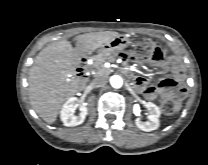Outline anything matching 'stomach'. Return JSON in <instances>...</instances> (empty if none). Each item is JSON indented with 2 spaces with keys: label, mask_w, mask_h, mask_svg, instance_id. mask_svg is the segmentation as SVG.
Returning <instances> with one entry per match:
<instances>
[{
  "label": "stomach",
  "mask_w": 208,
  "mask_h": 165,
  "mask_svg": "<svg viewBox=\"0 0 208 165\" xmlns=\"http://www.w3.org/2000/svg\"><path fill=\"white\" fill-rule=\"evenodd\" d=\"M130 44L128 37L124 35H118L109 42H106L101 46V51L109 54H117L126 48Z\"/></svg>",
  "instance_id": "1"
}]
</instances>
